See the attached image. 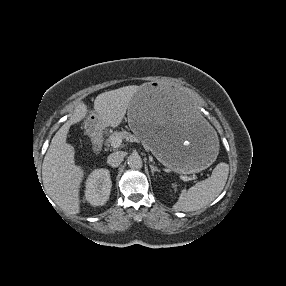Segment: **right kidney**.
<instances>
[{
  "mask_svg": "<svg viewBox=\"0 0 286 286\" xmlns=\"http://www.w3.org/2000/svg\"><path fill=\"white\" fill-rule=\"evenodd\" d=\"M111 187L109 170L96 169L86 180L85 198L93 206L104 205L109 199Z\"/></svg>",
  "mask_w": 286,
  "mask_h": 286,
  "instance_id": "obj_1",
  "label": "right kidney"
}]
</instances>
